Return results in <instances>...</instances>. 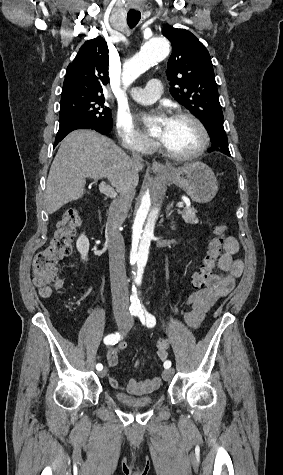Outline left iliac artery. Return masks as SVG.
<instances>
[{
    "instance_id": "obj_1",
    "label": "left iliac artery",
    "mask_w": 283,
    "mask_h": 475,
    "mask_svg": "<svg viewBox=\"0 0 283 475\" xmlns=\"http://www.w3.org/2000/svg\"><path fill=\"white\" fill-rule=\"evenodd\" d=\"M134 315L138 316L140 321L142 322V324H144V325L146 324L147 327H153L156 324L155 317L151 313L147 312L146 310L145 311L137 310V311H135ZM170 367H171V362L170 361H165L164 362V368L168 369Z\"/></svg>"
}]
</instances>
